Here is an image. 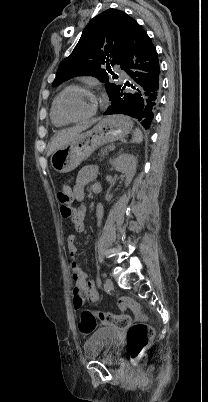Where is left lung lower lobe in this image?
Listing matches in <instances>:
<instances>
[{
    "label": "left lung lower lobe",
    "mask_w": 208,
    "mask_h": 402,
    "mask_svg": "<svg viewBox=\"0 0 208 402\" xmlns=\"http://www.w3.org/2000/svg\"><path fill=\"white\" fill-rule=\"evenodd\" d=\"M121 69L130 81L116 86L104 115H128L148 129L158 101L160 66L156 48L136 21L121 56Z\"/></svg>",
    "instance_id": "obj_1"
}]
</instances>
